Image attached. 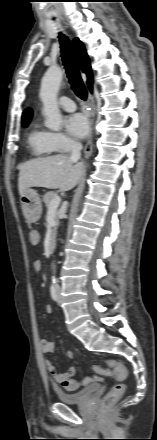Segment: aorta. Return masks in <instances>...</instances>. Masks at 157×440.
<instances>
[{"instance_id": "obj_1", "label": "aorta", "mask_w": 157, "mask_h": 440, "mask_svg": "<svg viewBox=\"0 0 157 440\" xmlns=\"http://www.w3.org/2000/svg\"><path fill=\"white\" fill-rule=\"evenodd\" d=\"M63 71L58 66H51L45 73L40 88V98L43 103V114L49 129L59 131L62 116L58 107L57 94L62 82ZM55 264L53 263V269Z\"/></svg>"}]
</instances>
